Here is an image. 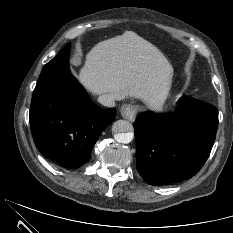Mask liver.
<instances>
[{
    "label": "liver",
    "mask_w": 233,
    "mask_h": 233,
    "mask_svg": "<svg viewBox=\"0 0 233 233\" xmlns=\"http://www.w3.org/2000/svg\"><path fill=\"white\" fill-rule=\"evenodd\" d=\"M173 68L153 44L132 31L102 41L86 55L79 82L94 94H114L161 105L170 90Z\"/></svg>",
    "instance_id": "1"
}]
</instances>
